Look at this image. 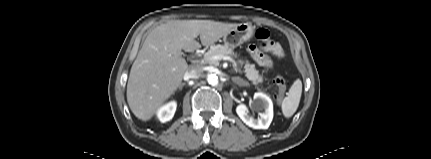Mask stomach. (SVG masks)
I'll return each mask as SVG.
<instances>
[{"label": "stomach", "mask_w": 431, "mask_h": 159, "mask_svg": "<svg viewBox=\"0 0 431 159\" xmlns=\"http://www.w3.org/2000/svg\"><path fill=\"white\" fill-rule=\"evenodd\" d=\"M254 27L250 23H241L231 29L223 36L225 45L229 47H237L253 36Z\"/></svg>", "instance_id": "stomach-1"}]
</instances>
